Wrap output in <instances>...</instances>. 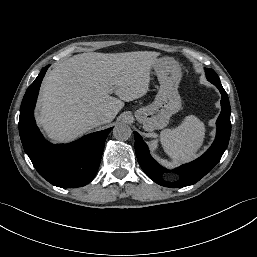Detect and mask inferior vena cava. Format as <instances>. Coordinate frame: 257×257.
Wrapping results in <instances>:
<instances>
[{"label": "inferior vena cava", "mask_w": 257, "mask_h": 257, "mask_svg": "<svg viewBox=\"0 0 257 257\" xmlns=\"http://www.w3.org/2000/svg\"><path fill=\"white\" fill-rule=\"evenodd\" d=\"M110 118H111V116H110L109 113H107V114H101V115L97 116L96 121H97L99 124H104V123L109 122V121H110Z\"/></svg>", "instance_id": "602c4592"}]
</instances>
